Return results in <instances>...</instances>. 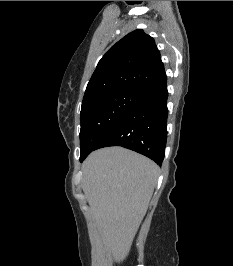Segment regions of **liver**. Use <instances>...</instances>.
Returning a JSON list of instances; mask_svg holds the SVG:
<instances>
[{"instance_id": "1", "label": "liver", "mask_w": 233, "mask_h": 266, "mask_svg": "<svg viewBox=\"0 0 233 266\" xmlns=\"http://www.w3.org/2000/svg\"><path fill=\"white\" fill-rule=\"evenodd\" d=\"M159 174L150 159L122 147L92 152L82 165V188L100 232L106 263L122 262L146 214Z\"/></svg>"}]
</instances>
